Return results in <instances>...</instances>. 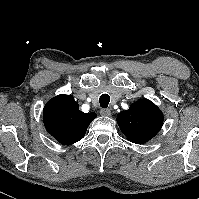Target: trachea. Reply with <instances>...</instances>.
<instances>
[{
	"label": "trachea",
	"mask_w": 199,
	"mask_h": 199,
	"mask_svg": "<svg viewBox=\"0 0 199 199\" xmlns=\"http://www.w3.org/2000/svg\"><path fill=\"white\" fill-rule=\"evenodd\" d=\"M99 102L102 108H107L110 102V96L108 94H102L99 98Z\"/></svg>",
	"instance_id": "obj_1"
}]
</instances>
